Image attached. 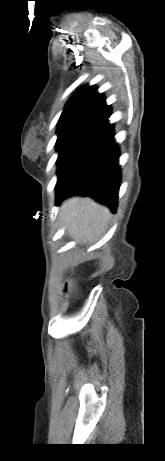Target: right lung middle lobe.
Listing matches in <instances>:
<instances>
[{"mask_svg":"<svg viewBox=\"0 0 165 461\" xmlns=\"http://www.w3.org/2000/svg\"><path fill=\"white\" fill-rule=\"evenodd\" d=\"M107 124L104 119L88 115L59 119L56 141L58 177Z\"/></svg>","mask_w":165,"mask_h":461,"instance_id":"right-lung-middle-lobe-1","label":"right lung middle lobe"}]
</instances>
